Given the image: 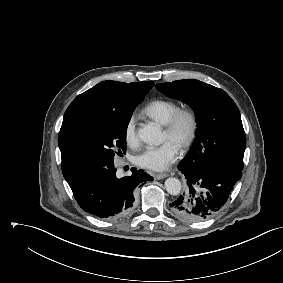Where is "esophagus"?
Wrapping results in <instances>:
<instances>
[{
  "label": "esophagus",
  "mask_w": 283,
  "mask_h": 283,
  "mask_svg": "<svg viewBox=\"0 0 283 283\" xmlns=\"http://www.w3.org/2000/svg\"><path fill=\"white\" fill-rule=\"evenodd\" d=\"M167 176L168 174L166 173L154 174V179L160 180V179L166 178Z\"/></svg>",
  "instance_id": "obj_1"
}]
</instances>
